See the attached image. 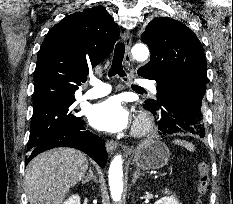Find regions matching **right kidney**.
<instances>
[{
	"instance_id": "ca27d5eb",
	"label": "right kidney",
	"mask_w": 233,
	"mask_h": 204,
	"mask_svg": "<svg viewBox=\"0 0 233 204\" xmlns=\"http://www.w3.org/2000/svg\"><path fill=\"white\" fill-rule=\"evenodd\" d=\"M63 204H80V197L78 195H72Z\"/></svg>"
}]
</instances>
